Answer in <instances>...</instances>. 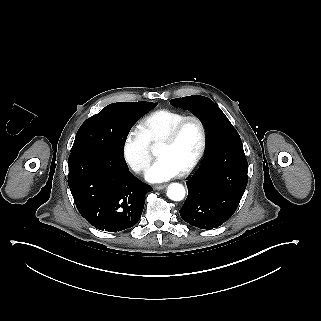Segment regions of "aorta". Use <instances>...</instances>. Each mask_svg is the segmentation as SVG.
Masks as SVG:
<instances>
[{
    "instance_id": "obj_1",
    "label": "aorta",
    "mask_w": 321,
    "mask_h": 321,
    "mask_svg": "<svg viewBox=\"0 0 321 321\" xmlns=\"http://www.w3.org/2000/svg\"><path fill=\"white\" fill-rule=\"evenodd\" d=\"M167 196L171 200L181 201L185 197V188L179 183H172L167 189Z\"/></svg>"
}]
</instances>
